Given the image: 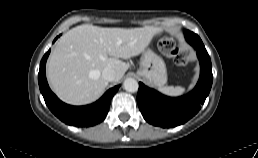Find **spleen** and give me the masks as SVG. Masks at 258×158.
<instances>
[{
	"mask_svg": "<svg viewBox=\"0 0 258 158\" xmlns=\"http://www.w3.org/2000/svg\"><path fill=\"white\" fill-rule=\"evenodd\" d=\"M159 91H161L162 93L169 95V96H180L185 92V88L181 87V86H167V87H159L158 88Z\"/></svg>",
	"mask_w": 258,
	"mask_h": 158,
	"instance_id": "obj_1",
	"label": "spleen"
}]
</instances>
